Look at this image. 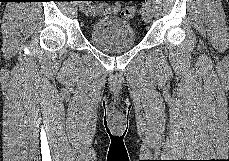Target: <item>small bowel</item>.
<instances>
[{
  "label": "small bowel",
  "instance_id": "obj_1",
  "mask_svg": "<svg viewBox=\"0 0 229 161\" xmlns=\"http://www.w3.org/2000/svg\"><path fill=\"white\" fill-rule=\"evenodd\" d=\"M118 6H119L118 4H112L111 6H109V7L105 10V12H106V13H110V14L116 13V12L119 10V7H118ZM92 11H93V12H96V9H92Z\"/></svg>",
  "mask_w": 229,
  "mask_h": 161
}]
</instances>
